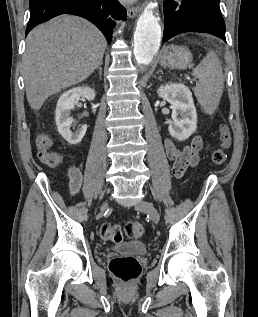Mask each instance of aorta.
Segmentation results:
<instances>
[{
    "mask_svg": "<svg viewBox=\"0 0 258 317\" xmlns=\"http://www.w3.org/2000/svg\"><path fill=\"white\" fill-rule=\"evenodd\" d=\"M154 8L152 2L144 8L134 33V56L139 65H148L160 47L161 26Z\"/></svg>",
    "mask_w": 258,
    "mask_h": 317,
    "instance_id": "aorta-1",
    "label": "aorta"
}]
</instances>
